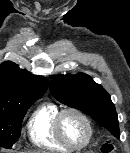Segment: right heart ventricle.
<instances>
[{
	"mask_svg": "<svg viewBox=\"0 0 130 153\" xmlns=\"http://www.w3.org/2000/svg\"><path fill=\"white\" fill-rule=\"evenodd\" d=\"M59 111L55 103L44 102L31 113L26 124V134L32 145L51 151H70L60 142L54 130V120Z\"/></svg>",
	"mask_w": 130,
	"mask_h": 153,
	"instance_id": "obj_1",
	"label": "right heart ventricle"
}]
</instances>
